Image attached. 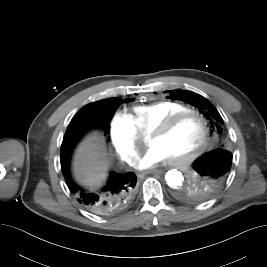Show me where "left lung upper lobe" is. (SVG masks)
Here are the masks:
<instances>
[{"label":"left lung upper lobe","instance_id":"obj_1","mask_svg":"<svg viewBox=\"0 0 267 267\" xmlns=\"http://www.w3.org/2000/svg\"><path fill=\"white\" fill-rule=\"evenodd\" d=\"M165 92L170 93L168 98L172 100L183 101L197 108L198 111L208 120L211 132L219 138V143L214 150L229 151L226 146V131L223 126V119L217 109L206 98L179 89L175 91L170 90ZM208 153H206L205 155H207Z\"/></svg>","mask_w":267,"mask_h":267}]
</instances>
